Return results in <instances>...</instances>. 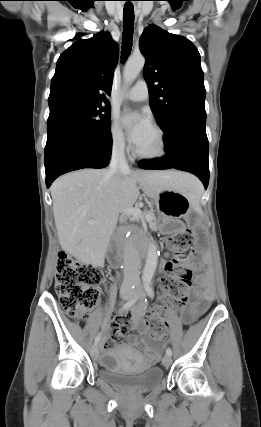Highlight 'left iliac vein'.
Listing matches in <instances>:
<instances>
[{"label": "left iliac vein", "instance_id": "obj_1", "mask_svg": "<svg viewBox=\"0 0 261 427\" xmlns=\"http://www.w3.org/2000/svg\"><path fill=\"white\" fill-rule=\"evenodd\" d=\"M133 298H137L139 303H142L145 298V292L142 288H140L136 293H134ZM162 363L165 367H169L172 363V358L170 355L166 354L163 359Z\"/></svg>", "mask_w": 261, "mask_h": 427}]
</instances>
